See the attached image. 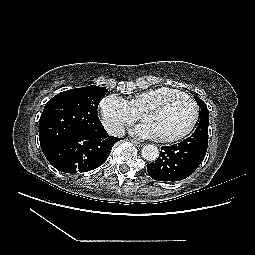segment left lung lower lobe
<instances>
[{"mask_svg":"<svg viewBox=\"0 0 255 255\" xmlns=\"http://www.w3.org/2000/svg\"><path fill=\"white\" fill-rule=\"evenodd\" d=\"M208 146V125L180 143L164 146L159 158L147 164L148 174L157 181H180L189 177L204 159Z\"/></svg>","mask_w":255,"mask_h":255,"instance_id":"1","label":"left lung lower lobe"}]
</instances>
